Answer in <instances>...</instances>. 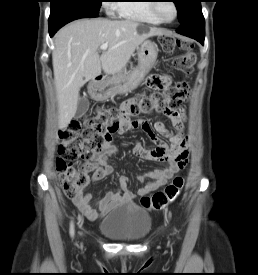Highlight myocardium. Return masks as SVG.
<instances>
[{
	"mask_svg": "<svg viewBox=\"0 0 258 275\" xmlns=\"http://www.w3.org/2000/svg\"><path fill=\"white\" fill-rule=\"evenodd\" d=\"M154 2H156V3H152L151 9H152V12L154 13V15L159 19L160 22H162V23H171V22H173L177 19V17H178V7H177L175 2L170 1V3L174 7V17L170 20L164 19L159 13V5L161 4L159 2H162V1H154Z\"/></svg>",
	"mask_w": 258,
	"mask_h": 275,
	"instance_id": "f54148a6",
	"label": "myocardium"
}]
</instances>
